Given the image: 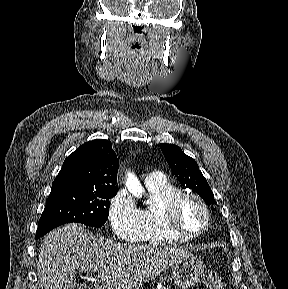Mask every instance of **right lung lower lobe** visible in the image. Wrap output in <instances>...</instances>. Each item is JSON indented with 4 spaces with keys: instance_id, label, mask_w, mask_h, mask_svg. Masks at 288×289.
Returning a JSON list of instances; mask_svg holds the SVG:
<instances>
[{
    "instance_id": "right-lung-lower-lobe-1",
    "label": "right lung lower lobe",
    "mask_w": 288,
    "mask_h": 289,
    "mask_svg": "<svg viewBox=\"0 0 288 289\" xmlns=\"http://www.w3.org/2000/svg\"><path fill=\"white\" fill-rule=\"evenodd\" d=\"M36 239H38L39 237L36 235V237H35Z\"/></svg>"
}]
</instances>
